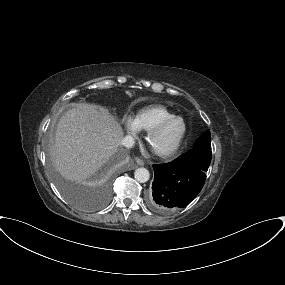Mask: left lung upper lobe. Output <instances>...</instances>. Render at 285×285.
<instances>
[{"label": "left lung upper lobe", "mask_w": 285, "mask_h": 285, "mask_svg": "<svg viewBox=\"0 0 285 285\" xmlns=\"http://www.w3.org/2000/svg\"><path fill=\"white\" fill-rule=\"evenodd\" d=\"M175 162L186 164L207 172L211 162V135L207 130L195 142L193 148L178 157Z\"/></svg>", "instance_id": "5c2ea615"}]
</instances>
